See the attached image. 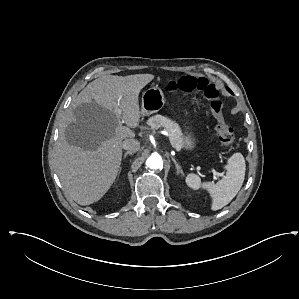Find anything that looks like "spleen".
Instances as JSON below:
<instances>
[{
  "label": "spleen",
  "mask_w": 299,
  "mask_h": 299,
  "mask_svg": "<svg viewBox=\"0 0 299 299\" xmlns=\"http://www.w3.org/2000/svg\"><path fill=\"white\" fill-rule=\"evenodd\" d=\"M226 176L216 184L202 183L196 174H188L185 182L193 190L206 189L212 197V210H219L229 204L242 187L245 177V160L241 153H234L225 166Z\"/></svg>",
  "instance_id": "1"
}]
</instances>
